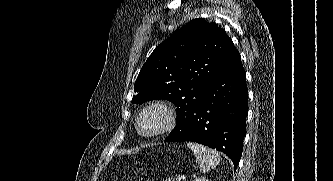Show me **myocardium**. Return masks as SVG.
<instances>
[{"label": "myocardium", "instance_id": "obj_1", "mask_svg": "<svg viewBox=\"0 0 333 181\" xmlns=\"http://www.w3.org/2000/svg\"><path fill=\"white\" fill-rule=\"evenodd\" d=\"M149 113H157L160 116V124L157 128L150 131H143L140 127V122L144 116ZM177 121V113L175 107L164 100H154L144 105L138 112L135 119L136 132L145 138L156 137L163 135L173 129Z\"/></svg>", "mask_w": 333, "mask_h": 181}]
</instances>
